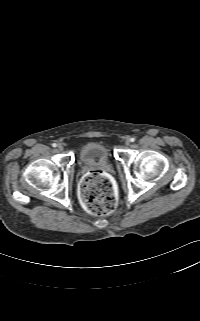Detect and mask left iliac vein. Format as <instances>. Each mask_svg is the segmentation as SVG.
<instances>
[{
	"label": "left iliac vein",
	"instance_id": "1",
	"mask_svg": "<svg viewBox=\"0 0 200 321\" xmlns=\"http://www.w3.org/2000/svg\"><path fill=\"white\" fill-rule=\"evenodd\" d=\"M130 143H131V141H130L129 138L125 140V144H126V145H130Z\"/></svg>",
	"mask_w": 200,
	"mask_h": 321
}]
</instances>
